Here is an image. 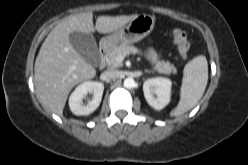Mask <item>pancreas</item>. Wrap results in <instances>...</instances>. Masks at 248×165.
I'll list each match as a JSON object with an SVG mask.
<instances>
[{
    "instance_id": "1",
    "label": "pancreas",
    "mask_w": 248,
    "mask_h": 165,
    "mask_svg": "<svg viewBox=\"0 0 248 165\" xmlns=\"http://www.w3.org/2000/svg\"><path fill=\"white\" fill-rule=\"evenodd\" d=\"M139 50L129 44H120L115 47L112 51L107 55V64L112 68L121 67L123 65L122 61L117 60L119 56H127L129 54H136ZM154 69H156L159 73L170 75L171 73L176 74L177 69L171 64L169 61H159Z\"/></svg>"
}]
</instances>
